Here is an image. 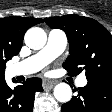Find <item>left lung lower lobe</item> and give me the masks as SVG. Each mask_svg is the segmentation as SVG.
Instances as JSON below:
<instances>
[{
	"mask_svg": "<svg viewBox=\"0 0 112 112\" xmlns=\"http://www.w3.org/2000/svg\"><path fill=\"white\" fill-rule=\"evenodd\" d=\"M78 95L62 105V112H110L112 109V82L88 81L78 88Z\"/></svg>",
	"mask_w": 112,
	"mask_h": 112,
	"instance_id": "left-lung-lower-lobe-1",
	"label": "left lung lower lobe"
}]
</instances>
